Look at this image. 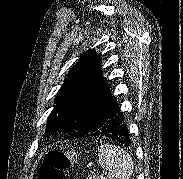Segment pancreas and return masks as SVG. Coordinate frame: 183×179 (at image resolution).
Segmentation results:
<instances>
[{
	"mask_svg": "<svg viewBox=\"0 0 183 179\" xmlns=\"http://www.w3.org/2000/svg\"><path fill=\"white\" fill-rule=\"evenodd\" d=\"M86 179H106L103 176L88 175Z\"/></svg>",
	"mask_w": 183,
	"mask_h": 179,
	"instance_id": "obj_1",
	"label": "pancreas"
}]
</instances>
